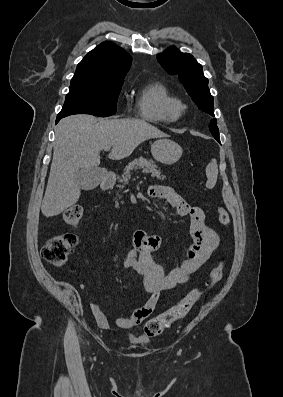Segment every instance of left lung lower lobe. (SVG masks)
I'll use <instances>...</instances> for the list:
<instances>
[{
  "instance_id": "left-lung-lower-lobe-1",
  "label": "left lung lower lobe",
  "mask_w": 283,
  "mask_h": 397,
  "mask_svg": "<svg viewBox=\"0 0 283 397\" xmlns=\"http://www.w3.org/2000/svg\"><path fill=\"white\" fill-rule=\"evenodd\" d=\"M215 139L220 143V139H219V137H215Z\"/></svg>"
}]
</instances>
